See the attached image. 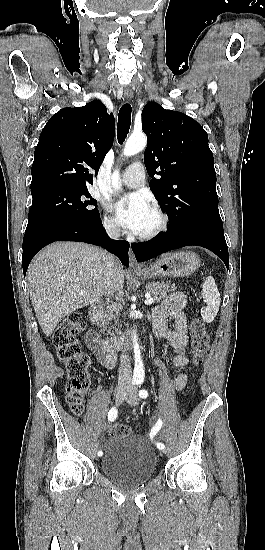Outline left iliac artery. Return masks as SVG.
Wrapping results in <instances>:
<instances>
[{
  "instance_id": "1",
  "label": "left iliac artery",
  "mask_w": 265,
  "mask_h": 550,
  "mask_svg": "<svg viewBox=\"0 0 265 550\" xmlns=\"http://www.w3.org/2000/svg\"><path fill=\"white\" fill-rule=\"evenodd\" d=\"M142 383H143V379H138V380L136 381V384L141 385ZM139 396H140L141 398H147V396H148V391H147V390H144V389L140 390V391H139ZM162 424H163L162 420H161V419H158L157 423L155 424V426L153 427V429H152L151 432H150V438H151V439H153V437L156 435V433L161 429ZM155 445H156V447H157L158 449H164V448H165V445H164L163 443H155Z\"/></svg>"
}]
</instances>
